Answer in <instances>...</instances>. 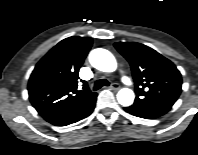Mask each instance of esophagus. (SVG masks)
Returning <instances> with one entry per match:
<instances>
[{
  "instance_id": "esophagus-1",
  "label": "esophagus",
  "mask_w": 198,
  "mask_h": 155,
  "mask_svg": "<svg viewBox=\"0 0 198 155\" xmlns=\"http://www.w3.org/2000/svg\"><path fill=\"white\" fill-rule=\"evenodd\" d=\"M119 88H120V86L117 83H112L110 86V89L115 90V91L118 90Z\"/></svg>"
}]
</instances>
